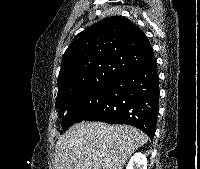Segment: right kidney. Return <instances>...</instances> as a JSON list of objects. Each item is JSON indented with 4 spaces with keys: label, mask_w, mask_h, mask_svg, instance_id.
I'll use <instances>...</instances> for the list:
<instances>
[{
    "label": "right kidney",
    "mask_w": 200,
    "mask_h": 169,
    "mask_svg": "<svg viewBox=\"0 0 200 169\" xmlns=\"http://www.w3.org/2000/svg\"><path fill=\"white\" fill-rule=\"evenodd\" d=\"M126 169H147V158L143 153H135L129 160Z\"/></svg>",
    "instance_id": "obj_1"
}]
</instances>
